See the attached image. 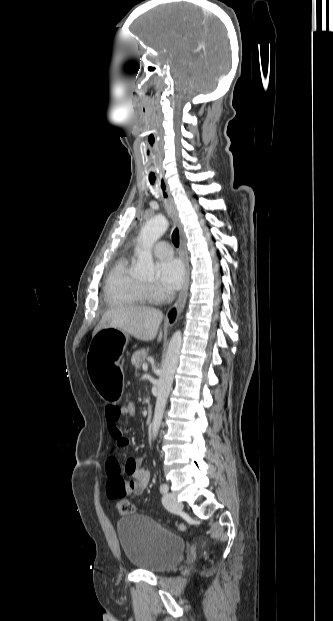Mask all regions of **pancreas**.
<instances>
[{
    "instance_id": "obj_1",
    "label": "pancreas",
    "mask_w": 333,
    "mask_h": 621,
    "mask_svg": "<svg viewBox=\"0 0 333 621\" xmlns=\"http://www.w3.org/2000/svg\"><path fill=\"white\" fill-rule=\"evenodd\" d=\"M146 358L147 351L145 349H140L133 353L131 357V362L135 366V368L140 369L142 364H144Z\"/></svg>"
}]
</instances>
